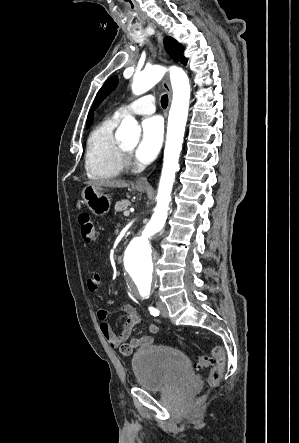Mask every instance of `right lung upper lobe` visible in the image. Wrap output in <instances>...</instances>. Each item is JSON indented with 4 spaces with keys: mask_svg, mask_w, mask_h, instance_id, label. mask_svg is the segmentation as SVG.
<instances>
[{
    "mask_svg": "<svg viewBox=\"0 0 299 443\" xmlns=\"http://www.w3.org/2000/svg\"><path fill=\"white\" fill-rule=\"evenodd\" d=\"M93 121V113L90 111L87 118V125H91Z\"/></svg>",
    "mask_w": 299,
    "mask_h": 443,
    "instance_id": "1",
    "label": "right lung upper lobe"
}]
</instances>
